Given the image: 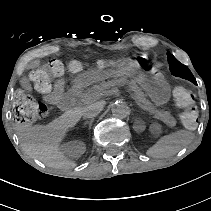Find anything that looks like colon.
Here are the masks:
<instances>
[{
	"label": "colon",
	"instance_id": "obj_1",
	"mask_svg": "<svg viewBox=\"0 0 211 211\" xmlns=\"http://www.w3.org/2000/svg\"><path fill=\"white\" fill-rule=\"evenodd\" d=\"M89 64L80 60H70L63 63L60 60H51L30 73V81L35 90L42 96L48 95L56 79L61 77L66 71L80 72ZM97 68H124L130 66H141L142 62L138 58L121 59H100L94 62ZM174 99L176 104L182 108L180 119L183 125L193 129L198 123V109L195 105L193 93L184 87H178L174 90ZM48 113L46 104L34 100L24 91H19L15 95L13 104V118L23 125L34 123L43 119Z\"/></svg>",
	"mask_w": 211,
	"mask_h": 211
}]
</instances>
